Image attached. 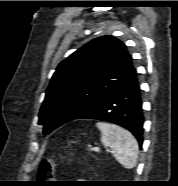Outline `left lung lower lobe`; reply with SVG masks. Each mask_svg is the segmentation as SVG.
<instances>
[{
	"mask_svg": "<svg viewBox=\"0 0 178 186\" xmlns=\"http://www.w3.org/2000/svg\"><path fill=\"white\" fill-rule=\"evenodd\" d=\"M75 119H95L120 125L129 130L142 145L144 117L137 73Z\"/></svg>",
	"mask_w": 178,
	"mask_h": 186,
	"instance_id": "obj_1",
	"label": "left lung lower lobe"
}]
</instances>
